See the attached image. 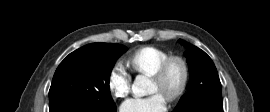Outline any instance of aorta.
Returning <instances> with one entry per match:
<instances>
[{
    "mask_svg": "<svg viewBox=\"0 0 270 112\" xmlns=\"http://www.w3.org/2000/svg\"><path fill=\"white\" fill-rule=\"evenodd\" d=\"M151 81L146 75H137L132 85V91L137 97L150 94Z\"/></svg>",
    "mask_w": 270,
    "mask_h": 112,
    "instance_id": "obj_1",
    "label": "aorta"
}]
</instances>
